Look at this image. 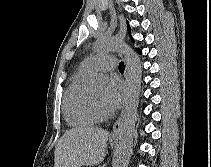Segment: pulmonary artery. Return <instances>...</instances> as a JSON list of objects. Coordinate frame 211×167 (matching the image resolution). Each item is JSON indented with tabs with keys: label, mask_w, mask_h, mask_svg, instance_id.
Listing matches in <instances>:
<instances>
[{
	"label": "pulmonary artery",
	"mask_w": 211,
	"mask_h": 167,
	"mask_svg": "<svg viewBox=\"0 0 211 167\" xmlns=\"http://www.w3.org/2000/svg\"><path fill=\"white\" fill-rule=\"evenodd\" d=\"M82 66L94 72L98 70H113L117 67V60L113 55H99L86 58Z\"/></svg>",
	"instance_id": "1"
}]
</instances>
